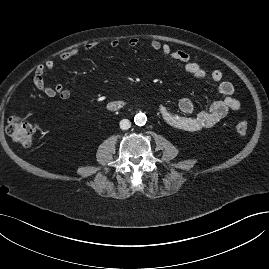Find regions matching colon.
Instances as JSON below:
<instances>
[{
    "instance_id": "1",
    "label": "colon",
    "mask_w": 269,
    "mask_h": 269,
    "mask_svg": "<svg viewBox=\"0 0 269 269\" xmlns=\"http://www.w3.org/2000/svg\"><path fill=\"white\" fill-rule=\"evenodd\" d=\"M235 129L239 137H245L247 135L248 125L245 121H239ZM37 130L38 127L36 124L26 122L18 116H11L6 127L7 134L24 147L30 146Z\"/></svg>"
}]
</instances>
